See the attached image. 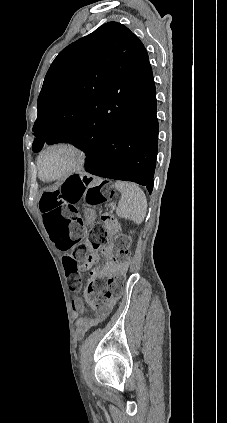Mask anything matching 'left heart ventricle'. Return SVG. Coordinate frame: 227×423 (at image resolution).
<instances>
[{
	"label": "left heart ventricle",
	"instance_id": "b2bd125f",
	"mask_svg": "<svg viewBox=\"0 0 227 423\" xmlns=\"http://www.w3.org/2000/svg\"><path fill=\"white\" fill-rule=\"evenodd\" d=\"M75 161L74 154L67 149H53L45 154L42 160V171L45 178H52L66 171Z\"/></svg>",
	"mask_w": 227,
	"mask_h": 423
}]
</instances>
